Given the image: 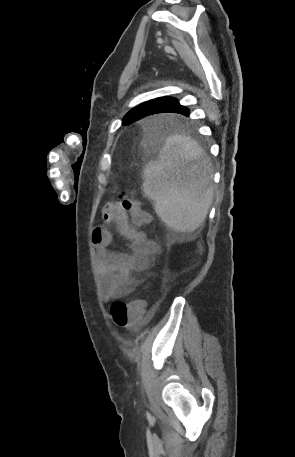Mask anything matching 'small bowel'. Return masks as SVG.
<instances>
[{"label": "small bowel", "mask_w": 295, "mask_h": 457, "mask_svg": "<svg viewBox=\"0 0 295 457\" xmlns=\"http://www.w3.org/2000/svg\"><path fill=\"white\" fill-rule=\"evenodd\" d=\"M106 224H114L118 232L129 242L130 253L113 252L109 249L113 237L106 226H98L92 231V242L101 277L103 297L109 301L130 294L137 285L135 273L149 268L152 258L160 247L144 232L133 227L127 212L118 202H108L102 210Z\"/></svg>", "instance_id": "obj_1"}]
</instances>
